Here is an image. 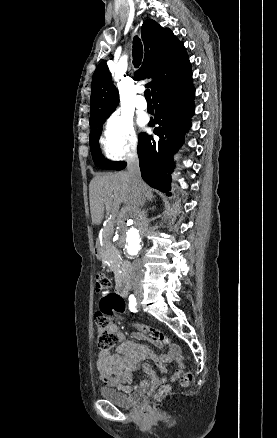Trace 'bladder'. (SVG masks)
<instances>
[{
  "label": "bladder",
  "mask_w": 277,
  "mask_h": 438,
  "mask_svg": "<svg viewBox=\"0 0 277 438\" xmlns=\"http://www.w3.org/2000/svg\"><path fill=\"white\" fill-rule=\"evenodd\" d=\"M98 395L118 407L132 408L142 401L143 395L140 392L126 394L121 390L112 387H102L98 390Z\"/></svg>",
  "instance_id": "obj_1"
}]
</instances>
